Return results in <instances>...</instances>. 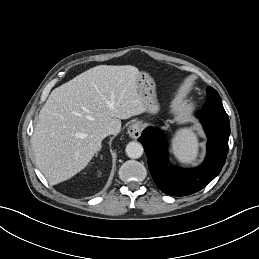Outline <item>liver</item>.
<instances>
[{"mask_svg": "<svg viewBox=\"0 0 259 259\" xmlns=\"http://www.w3.org/2000/svg\"><path fill=\"white\" fill-rule=\"evenodd\" d=\"M134 66L99 65L55 88L39 112L32 149L51 185L83 170L101 149L102 133L121 130V119L144 112Z\"/></svg>", "mask_w": 259, "mask_h": 259, "instance_id": "1", "label": "liver"}]
</instances>
